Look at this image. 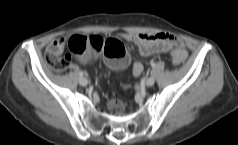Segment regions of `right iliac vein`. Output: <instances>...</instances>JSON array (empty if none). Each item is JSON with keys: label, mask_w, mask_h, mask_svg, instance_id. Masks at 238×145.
<instances>
[{"label": "right iliac vein", "mask_w": 238, "mask_h": 145, "mask_svg": "<svg viewBox=\"0 0 238 145\" xmlns=\"http://www.w3.org/2000/svg\"><path fill=\"white\" fill-rule=\"evenodd\" d=\"M79 83L82 86H86L88 84V80L85 77H80Z\"/></svg>", "instance_id": "63e3f726"}]
</instances>
